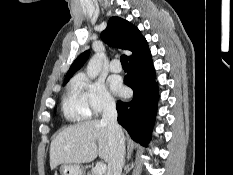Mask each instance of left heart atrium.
I'll list each match as a JSON object with an SVG mask.
<instances>
[{"label": "left heart atrium", "mask_w": 233, "mask_h": 175, "mask_svg": "<svg viewBox=\"0 0 233 175\" xmlns=\"http://www.w3.org/2000/svg\"><path fill=\"white\" fill-rule=\"evenodd\" d=\"M111 87H112L113 91L116 92L119 95H122L124 93V87L118 81H112Z\"/></svg>", "instance_id": "left-heart-atrium-1"}]
</instances>
